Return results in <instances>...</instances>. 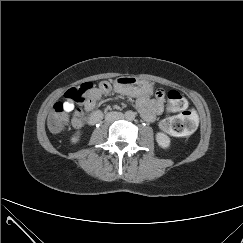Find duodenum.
<instances>
[{"mask_svg": "<svg viewBox=\"0 0 243 243\" xmlns=\"http://www.w3.org/2000/svg\"><path fill=\"white\" fill-rule=\"evenodd\" d=\"M102 117H103V114L101 111H95L91 114V116L89 118V123L91 125H95L101 121Z\"/></svg>", "mask_w": 243, "mask_h": 243, "instance_id": "1", "label": "duodenum"}]
</instances>
